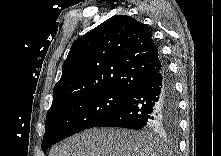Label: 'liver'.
<instances>
[{
  "label": "liver",
  "instance_id": "obj_1",
  "mask_svg": "<svg viewBox=\"0 0 221 156\" xmlns=\"http://www.w3.org/2000/svg\"><path fill=\"white\" fill-rule=\"evenodd\" d=\"M165 144L151 133L89 129L54 146L49 156H165Z\"/></svg>",
  "mask_w": 221,
  "mask_h": 156
}]
</instances>
